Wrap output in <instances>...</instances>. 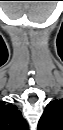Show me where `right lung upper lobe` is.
<instances>
[{
	"label": "right lung upper lobe",
	"mask_w": 63,
	"mask_h": 130,
	"mask_svg": "<svg viewBox=\"0 0 63 130\" xmlns=\"http://www.w3.org/2000/svg\"><path fill=\"white\" fill-rule=\"evenodd\" d=\"M27 123L21 112L11 103L0 102V129L27 130Z\"/></svg>",
	"instance_id": "right-lung-upper-lobe-1"
}]
</instances>
